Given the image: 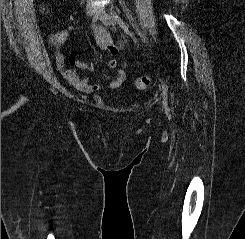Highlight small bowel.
Listing matches in <instances>:
<instances>
[{
	"label": "small bowel",
	"mask_w": 245,
	"mask_h": 239,
	"mask_svg": "<svg viewBox=\"0 0 245 239\" xmlns=\"http://www.w3.org/2000/svg\"><path fill=\"white\" fill-rule=\"evenodd\" d=\"M93 33L98 46L110 54V57L107 60V66L110 69H115L118 65L116 56L119 52L120 46L114 43L110 32L103 26H94ZM64 37V33L59 35L60 40L64 39ZM54 60L60 75L75 89L84 93H93L101 88L98 84L90 83L86 77H81L77 71V69H84L89 72H93L95 70V66L92 62H86L79 59L75 52L69 54V67H66L65 58L60 52L54 53ZM103 77L106 78V76ZM125 78L126 65L123 61L122 66L117 70L114 78L110 80L106 86L110 89H116L122 85Z\"/></svg>",
	"instance_id": "c3829d8e"
}]
</instances>
